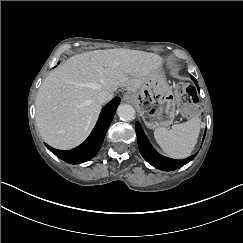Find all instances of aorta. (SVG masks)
I'll list each match as a JSON object with an SVG mask.
<instances>
[{
	"instance_id": "obj_1",
	"label": "aorta",
	"mask_w": 243,
	"mask_h": 243,
	"mask_svg": "<svg viewBox=\"0 0 243 243\" xmlns=\"http://www.w3.org/2000/svg\"><path fill=\"white\" fill-rule=\"evenodd\" d=\"M116 112L118 117L125 121H132L135 118L134 108L125 103L119 105Z\"/></svg>"
}]
</instances>
